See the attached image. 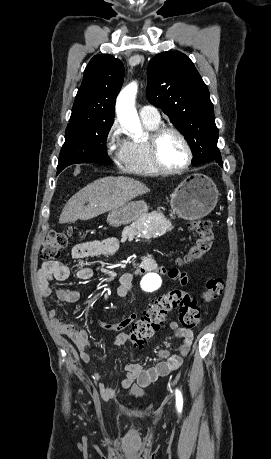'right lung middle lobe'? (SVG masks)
<instances>
[{"mask_svg": "<svg viewBox=\"0 0 271 459\" xmlns=\"http://www.w3.org/2000/svg\"><path fill=\"white\" fill-rule=\"evenodd\" d=\"M113 122L114 117H71L65 132V143L60 152L58 172L76 163L110 164L106 139Z\"/></svg>", "mask_w": 271, "mask_h": 459, "instance_id": "1", "label": "right lung middle lobe"}]
</instances>
